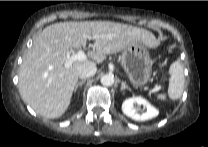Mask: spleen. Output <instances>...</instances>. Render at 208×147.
I'll use <instances>...</instances> for the list:
<instances>
[{
    "label": "spleen",
    "mask_w": 208,
    "mask_h": 147,
    "mask_svg": "<svg viewBox=\"0 0 208 147\" xmlns=\"http://www.w3.org/2000/svg\"><path fill=\"white\" fill-rule=\"evenodd\" d=\"M169 87H168V96L171 99H179L184 91V74L183 68L179 61H175L171 64L169 68ZM159 100H166L164 94L157 95Z\"/></svg>",
    "instance_id": "1"
}]
</instances>
